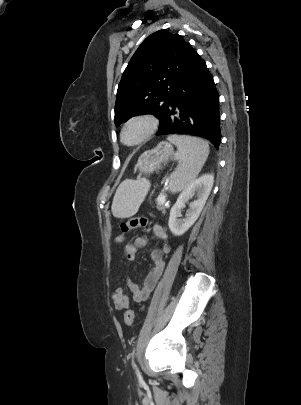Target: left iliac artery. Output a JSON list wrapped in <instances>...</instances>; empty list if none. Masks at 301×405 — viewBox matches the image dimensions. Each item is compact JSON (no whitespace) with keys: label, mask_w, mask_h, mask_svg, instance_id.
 Listing matches in <instances>:
<instances>
[{"label":"left iliac artery","mask_w":301,"mask_h":405,"mask_svg":"<svg viewBox=\"0 0 301 405\" xmlns=\"http://www.w3.org/2000/svg\"><path fill=\"white\" fill-rule=\"evenodd\" d=\"M134 354H135V352L133 351V353H132V363H133V364H134V361H133ZM134 365H135V364H134Z\"/></svg>","instance_id":"44dca946"}]
</instances>
